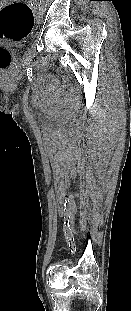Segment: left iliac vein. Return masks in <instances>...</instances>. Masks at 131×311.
Here are the masks:
<instances>
[{
    "mask_svg": "<svg viewBox=\"0 0 131 311\" xmlns=\"http://www.w3.org/2000/svg\"><path fill=\"white\" fill-rule=\"evenodd\" d=\"M38 17L41 18V12L38 13Z\"/></svg>",
    "mask_w": 131,
    "mask_h": 311,
    "instance_id": "obj_1",
    "label": "left iliac vein"
}]
</instances>
